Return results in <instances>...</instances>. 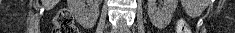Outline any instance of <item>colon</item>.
I'll return each mask as SVG.
<instances>
[{"instance_id":"5ec220e1","label":"colon","mask_w":235,"mask_h":33,"mask_svg":"<svg viewBox=\"0 0 235 33\" xmlns=\"http://www.w3.org/2000/svg\"><path fill=\"white\" fill-rule=\"evenodd\" d=\"M54 33H78L79 30L74 23L71 13L67 9L60 10L54 19ZM179 33H188L184 25L179 26Z\"/></svg>"}]
</instances>
